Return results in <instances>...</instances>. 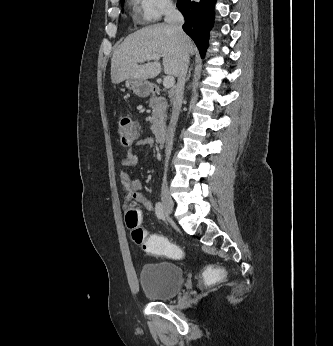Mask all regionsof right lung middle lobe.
<instances>
[{
  "label": "right lung middle lobe",
  "mask_w": 333,
  "mask_h": 346,
  "mask_svg": "<svg viewBox=\"0 0 333 346\" xmlns=\"http://www.w3.org/2000/svg\"><path fill=\"white\" fill-rule=\"evenodd\" d=\"M123 1H124V0H121V4H122V5H123Z\"/></svg>",
  "instance_id": "1"
}]
</instances>
